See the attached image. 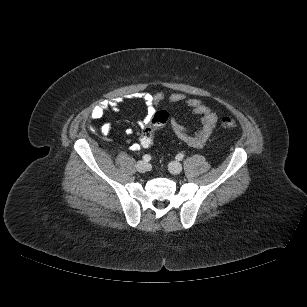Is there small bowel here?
I'll list each match as a JSON object with an SVG mask.
<instances>
[{
    "mask_svg": "<svg viewBox=\"0 0 307 307\" xmlns=\"http://www.w3.org/2000/svg\"><path fill=\"white\" fill-rule=\"evenodd\" d=\"M130 97L139 99L146 105V115L138 122V125L143 129L150 124L152 116L156 112V107L160 104L184 103L194 114L199 116L201 122L199 129L195 133H190L175 119L171 120L170 125L175 136L193 148H202L205 145L218 122L217 114L213 112L209 106L205 105L198 98H187L182 93H173L166 96L163 92H157L155 94L144 92L134 94ZM108 110L115 112L119 111V101L116 99H111L100 102L93 108L91 117L95 120H99ZM110 130L111 125L109 123H105L101 127V134L107 137ZM132 132L133 131L131 128L126 129V134L130 135Z\"/></svg>",
    "mask_w": 307,
    "mask_h": 307,
    "instance_id": "1",
    "label": "small bowel"
}]
</instances>
